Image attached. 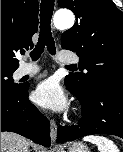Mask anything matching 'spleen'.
<instances>
[{"label": "spleen", "mask_w": 123, "mask_h": 152, "mask_svg": "<svg viewBox=\"0 0 123 152\" xmlns=\"http://www.w3.org/2000/svg\"><path fill=\"white\" fill-rule=\"evenodd\" d=\"M83 140L95 144L98 147L99 152H119L115 143L107 137L88 135L84 137Z\"/></svg>", "instance_id": "1"}]
</instances>
